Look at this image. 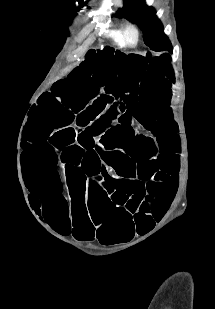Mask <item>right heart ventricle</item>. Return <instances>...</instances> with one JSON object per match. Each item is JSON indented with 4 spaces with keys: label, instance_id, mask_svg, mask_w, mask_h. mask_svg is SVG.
Masks as SVG:
<instances>
[{
    "label": "right heart ventricle",
    "instance_id": "1",
    "mask_svg": "<svg viewBox=\"0 0 215 309\" xmlns=\"http://www.w3.org/2000/svg\"><path fill=\"white\" fill-rule=\"evenodd\" d=\"M106 29L109 30L107 32L108 38L117 46L122 47L123 43L119 34L118 29H113V24L112 23H107L106 24Z\"/></svg>",
    "mask_w": 215,
    "mask_h": 309
}]
</instances>
